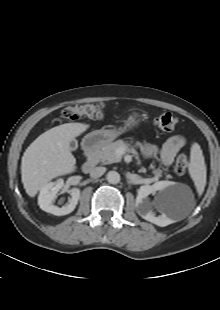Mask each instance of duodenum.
Masks as SVG:
<instances>
[{
    "label": "duodenum",
    "instance_id": "duodenum-1",
    "mask_svg": "<svg viewBox=\"0 0 220 310\" xmlns=\"http://www.w3.org/2000/svg\"><path fill=\"white\" fill-rule=\"evenodd\" d=\"M97 152V147L93 143H85L86 159L82 164V171L84 173H90L95 168L98 161Z\"/></svg>",
    "mask_w": 220,
    "mask_h": 310
}]
</instances>
